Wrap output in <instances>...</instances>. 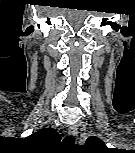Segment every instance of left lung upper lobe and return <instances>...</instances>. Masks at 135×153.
<instances>
[{"label": "left lung upper lobe", "mask_w": 135, "mask_h": 153, "mask_svg": "<svg viewBox=\"0 0 135 153\" xmlns=\"http://www.w3.org/2000/svg\"><path fill=\"white\" fill-rule=\"evenodd\" d=\"M86 146L96 149V150H105L107 149L106 145L102 140L97 137H90L86 141Z\"/></svg>", "instance_id": "left-lung-upper-lobe-1"}]
</instances>
